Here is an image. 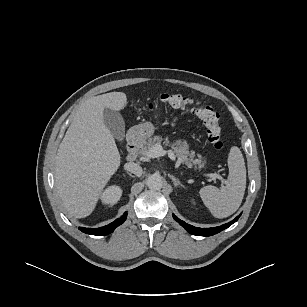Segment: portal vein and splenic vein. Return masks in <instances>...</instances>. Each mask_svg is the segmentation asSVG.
<instances>
[{
  "label": "portal vein and splenic vein",
  "mask_w": 307,
  "mask_h": 307,
  "mask_svg": "<svg viewBox=\"0 0 307 307\" xmlns=\"http://www.w3.org/2000/svg\"><path fill=\"white\" fill-rule=\"evenodd\" d=\"M166 154H168V157L171 160H175V155H174L172 150H164L163 147L160 144H156L155 146H153L147 152V157L148 158H157V157H160V156H165ZM209 176L212 179L218 178V179L223 181V178L219 174H209Z\"/></svg>",
  "instance_id": "1"
}]
</instances>
